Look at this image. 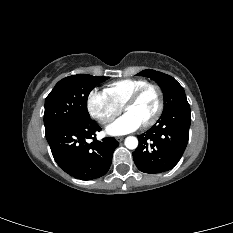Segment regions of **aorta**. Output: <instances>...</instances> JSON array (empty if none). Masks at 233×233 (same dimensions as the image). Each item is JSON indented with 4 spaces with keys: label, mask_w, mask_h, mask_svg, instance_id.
Listing matches in <instances>:
<instances>
[{
    "label": "aorta",
    "mask_w": 233,
    "mask_h": 233,
    "mask_svg": "<svg viewBox=\"0 0 233 233\" xmlns=\"http://www.w3.org/2000/svg\"><path fill=\"white\" fill-rule=\"evenodd\" d=\"M124 143L128 149H136L138 146V140L134 136H128Z\"/></svg>",
    "instance_id": "1"
}]
</instances>
